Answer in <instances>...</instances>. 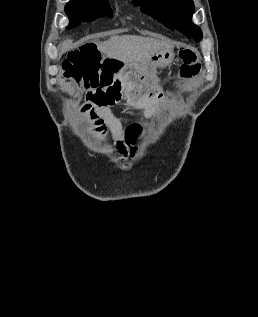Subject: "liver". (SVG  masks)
<instances>
[{"label": "liver", "instance_id": "liver-1", "mask_svg": "<svg viewBox=\"0 0 258 317\" xmlns=\"http://www.w3.org/2000/svg\"><path fill=\"white\" fill-rule=\"evenodd\" d=\"M102 54L108 58H116L122 62H146L153 52L158 50H173L172 40L165 38H150V36H136V34H123V36H110L108 40L95 42Z\"/></svg>", "mask_w": 258, "mask_h": 317}]
</instances>
